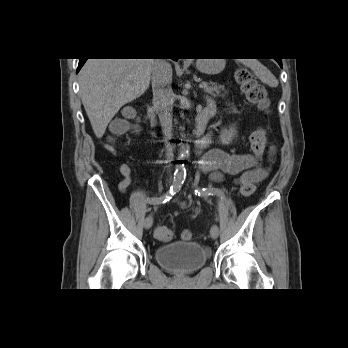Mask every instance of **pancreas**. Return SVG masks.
<instances>
[{"label":"pancreas","instance_id":"cf45deb5","mask_svg":"<svg viewBox=\"0 0 348 348\" xmlns=\"http://www.w3.org/2000/svg\"><path fill=\"white\" fill-rule=\"evenodd\" d=\"M220 90L221 88L215 84H210L209 86L205 87V92L213 96L220 95Z\"/></svg>","mask_w":348,"mask_h":348}]
</instances>
